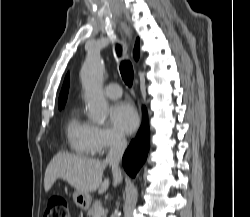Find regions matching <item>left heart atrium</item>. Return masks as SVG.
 I'll return each instance as SVG.
<instances>
[{"label":"left heart atrium","instance_id":"obj_1","mask_svg":"<svg viewBox=\"0 0 250 217\" xmlns=\"http://www.w3.org/2000/svg\"><path fill=\"white\" fill-rule=\"evenodd\" d=\"M110 120L113 126L124 134L132 133L138 126L137 113L127 102H119L111 107Z\"/></svg>","mask_w":250,"mask_h":217}]
</instances>
